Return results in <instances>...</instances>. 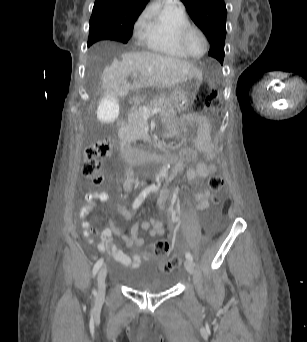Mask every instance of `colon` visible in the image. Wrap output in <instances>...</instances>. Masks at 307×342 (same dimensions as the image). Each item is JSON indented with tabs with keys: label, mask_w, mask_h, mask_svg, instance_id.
<instances>
[{
	"label": "colon",
	"mask_w": 307,
	"mask_h": 342,
	"mask_svg": "<svg viewBox=\"0 0 307 342\" xmlns=\"http://www.w3.org/2000/svg\"><path fill=\"white\" fill-rule=\"evenodd\" d=\"M200 94H206L200 101L195 103V109L198 111H206L211 109L216 111L218 108L217 91L210 87L209 82L199 83ZM113 141L109 139H101L96 143H91L84 148V161L82 164V175L88 178L93 184L101 185L103 183V175L101 173V162L109 158ZM208 185L212 191V202L216 208L222 204V190L224 186L223 177L219 174H211L208 178ZM170 243L167 240L157 241L153 246V251L157 256H165L170 250ZM180 255L168 259L161 265L163 273H170L179 264Z\"/></svg>",
	"instance_id": "5ec220e1"
}]
</instances>
